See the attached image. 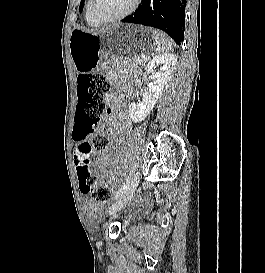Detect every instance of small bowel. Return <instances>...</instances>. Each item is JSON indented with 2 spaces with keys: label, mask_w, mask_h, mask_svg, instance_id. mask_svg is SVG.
I'll return each instance as SVG.
<instances>
[{
  "label": "small bowel",
  "mask_w": 265,
  "mask_h": 273,
  "mask_svg": "<svg viewBox=\"0 0 265 273\" xmlns=\"http://www.w3.org/2000/svg\"><path fill=\"white\" fill-rule=\"evenodd\" d=\"M107 102L109 104V112L105 119L106 129L105 132L108 136H113L118 126V121L121 118V113L118 112V103L112 96H108ZM128 124V122H126ZM82 142L75 140L73 150V163L77 167L79 163L77 148ZM114 148L110 147L101 153L94 161L93 159H82V164H91L93 167L100 170L104 177L110 178V166L108 163V157L113 153ZM101 213V206H90L88 215L92 218H96Z\"/></svg>",
  "instance_id": "c3829d8e"
}]
</instances>
